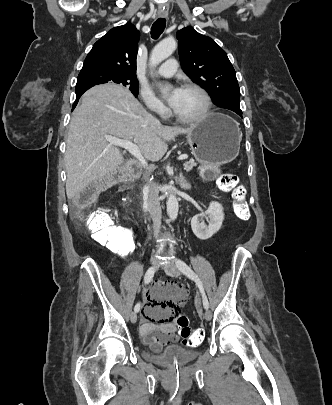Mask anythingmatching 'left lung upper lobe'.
Here are the masks:
<instances>
[{"label": "left lung upper lobe", "instance_id": "obj_1", "mask_svg": "<svg viewBox=\"0 0 332 405\" xmlns=\"http://www.w3.org/2000/svg\"><path fill=\"white\" fill-rule=\"evenodd\" d=\"M176 36L181 66L186 75L203 87L217 106L235 111L240 101V89L226 52L213 39L192 27L179 30Z\"/></svg>", "mask_w": 332, "mask_h": 405}]
</instances>
